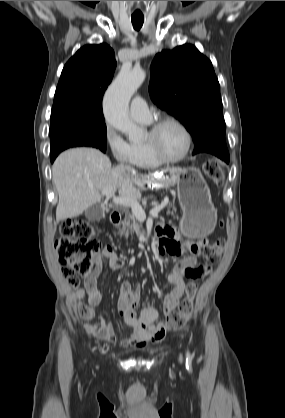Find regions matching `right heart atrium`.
<instances>
[{
    "label": "right heart atrium",
    "mask_w": 285,
    "mask_h": 418,
    "mask_svg": "<svg viewBox=\"0 0 285 418\" xmlns=\"http://www.w3.org/2000/svg\"><path fill=\"white\" fill-rule=\"evenodd\" d=\"M104 143L115 161L120 165L133 163L132 150L129 143L111 126L106 125L104 130Z\"/></svg>",
    "instance_id": "1"
}]
</instances>
